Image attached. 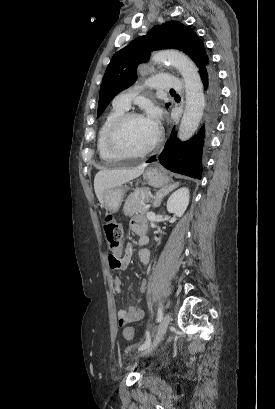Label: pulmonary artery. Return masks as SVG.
<instances>
[{
  "label": "pulmonary artery",
  "instance_id": "obj_1",
  "mask_svg": "<svg viewBox=\"0 0 275 409\" xmlns=\"http://www.w3.org/2000/svg\"><path fill=\"white\" fill-rule=\"evenodd\" d=\"M147 81V85H131L129 92H123L117 95L113 101V105L124 110L130 107V101L134 94H151L153 88H180L181 80L175 79L172 73H160L153 75Z\"/></svg>",
  "mask_w": 275,
  "mask_h": 409
}]
</instances>
